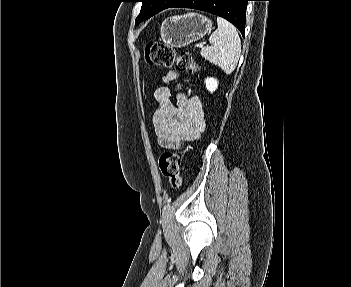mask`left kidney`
Here are the masks:
<instances>
[{"instance_id":"left-kidney-1","label":"left kidney","mask_w":351,"mask_h":287,"mask_svg":"<svg viewBox=\"0 0 351 287\" xmlns=\"http://www.w3.org/2000/svg\"><path fill=\"white\" fill-rule=\"evenodd\" d=\"M206 88L209 92L213 93L218 87V81L215 78L205 79Z\"/></svg>"}]
</instances>
